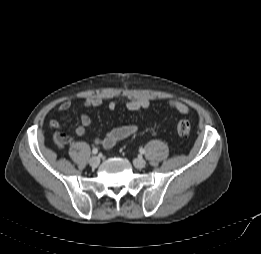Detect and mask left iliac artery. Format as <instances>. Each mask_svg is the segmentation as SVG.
<instances>
[{"label": "left iliac artery", "instance_id": "obj_1", "mask_svg": "<svg viewBox=\"0 0 261 254\" xmlns=\"http://www.w3.org/2000/svg\"><path fill=\"white\" fill-rule=\"evenodd\" d=\"M140 153L144 154L145 153V150L143 148H140Z\"/></svg>", "mask_w": 261, "mask_h": 254}]
</instances>
